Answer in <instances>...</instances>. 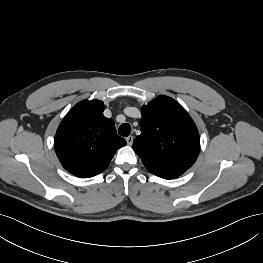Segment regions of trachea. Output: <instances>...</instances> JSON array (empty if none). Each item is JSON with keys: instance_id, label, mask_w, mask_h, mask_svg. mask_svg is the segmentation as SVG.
Wrapping results in <instances>:
<instances>
[{"instance_id": "obj_1", "label": "trachea", "mask_w": 263, "mask_h": 263, "mask_svg": "<svg viewBox=\"0 0 263 263\" xmlns=\"http://www.w3.org/2000/svg\"><path fill=\"white\" fill-rule=\"evenodd\" d=\"M130 132H131V126L128 123L121 124L118 129V133L123 137L129 136Z\"/></svg>"}]
</instances>
